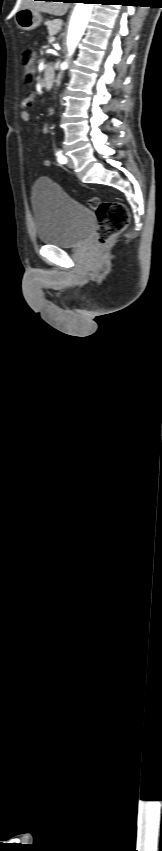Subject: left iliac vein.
<instances>
[{"label":"left iliac vein","mask_w":162,"mask_h":851,"mask_svg":"<svg viewBox=\"0 0 162 851\" xmlns=\"http://www.w3.org/2000/svg\"><path fill=\"white\" fill-rule=\"evenodd\" d=\"M67 166L69 168H74V162H73L72 158H70V157H68Z\"/></svg>","instance_id":"obj_1"}]
</instances>
